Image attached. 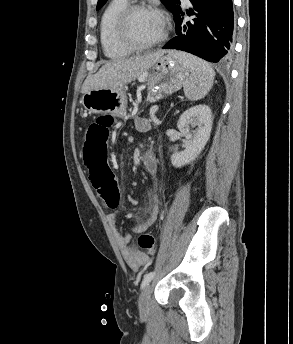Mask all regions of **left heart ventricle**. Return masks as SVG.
<instances>
[{
	"mask_svg": "<svg viewBox=\"0 0 293 344\" xmlns=\"http://www.w3.org/2000/svg\"><path fill=\"white\" fill-rule=\"evenodd\" d=\"M130 33L139 42L154 41L163 33L162 20L154 12H137L131 18Z\"/></svg>",
	"mask_w": 293,
	"mask_h": 344,
	"instance_id": "1",
	"label": "left heart ventricle"
}]
</instances>
